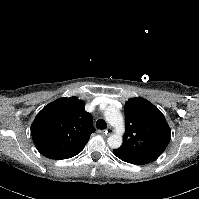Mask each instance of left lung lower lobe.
<instances>
[{
	"label": "left lung lower lobe",
	"mask_w": 199,
	"mask_h": 199,
	"mask_svg": "<svg viewBox=\"0 0 199 199\" xmlns=\"http://www.w3.org/2000/svg\"><path fill=\"white\" fill-rule=\"evenodd\" d=\"M113 152L119 159H121V160H123V161H125L127 163H131V164H135V165L146 164V162H143L141 160H138V159L126 156V155L119 154V153L115 152V150H113Z\"/></svg>",
	"instance_id": "0a47b994"
}]
</instances>
